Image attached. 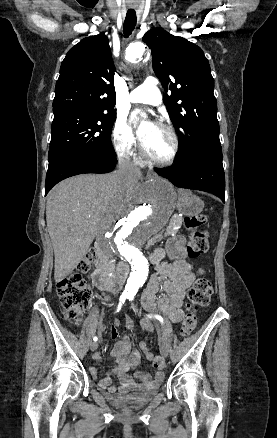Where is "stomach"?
I'll return each instance as SVG.
<instances>
[{
	"label": "stomach",
	"mask_w": 277,
	"mask_h": 438,
	"mask_svg": "<svg viewBox=\"0 0 277 438\" xmlns=\"http://www.w3.org/2000/svg\"><path fill=\"white\" fill-rule=\"evenodd\" d=\"M203 201L194 196L190 191L180 190L178 195L177 209L186 216H196L203 210ZM169 256L174 259L183 249L182 238H173L169 242Z\"/></svg>",
	"instance_id": "obj_1"
}]
</instances>
